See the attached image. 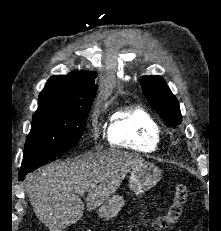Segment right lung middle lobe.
<instances>
[{"label":"right lung middle lobe","mask_w":221,"mask_h":231,"mask_svg":"<svg viewBox=\"0 0 221 231\" xmlns=\"http://www.w3.org/2000/svg\"><path fill=\"white\" fill-rule=\"evenodd\" d=\"M92 102L82 106L37 109L25 142L22 168L55 158L78 144Z\"/></svg>","instance_id":"obj_1"}]
</instances>
